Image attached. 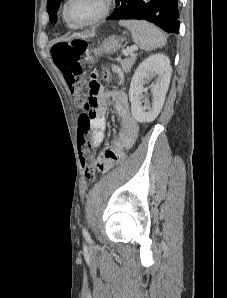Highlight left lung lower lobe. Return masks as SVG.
I'll return each instance as SVG.
<instances>
[{
    "mask_svg": "<svg viewBox=\"0 0 227 298\" xmlns=\"http://www.w3.org/2000/svg\"><path fill=\"white\" fill-rule=\"evenodd\" d=\"M107 20L144 19L169 33L179 31L178 0H116Z\"/></svg>",
    "mask_w": 227,
    "mask_h": 298,
    "instance_id": "1",
    "label": "left lung lower lobe"
}]
</instances>
